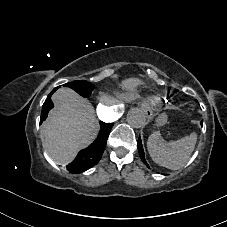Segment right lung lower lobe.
<instances>
[{
	"instance_id": "obj_1",
	"label": "right lung lower lobe",
	"mask_w": 227,
	"mask_h": 227,
	"mask_svg": "<svg viewBox=\"0 0 227 227\" xmlns=\"http://www.w3.org/2000/svg\"><path fill=\"white\" fill-rule=\"evenodd\" d=\"M52 107L53 103L50 101V105L48 106L47 110L42 111L41 113L40 123L46 119L48 112ZM100 124L101 130L97 139L89 147L81 150L78 153L73 162L67 166L68 171L76 174L93 167L99 162L104 152L108 136L113 127V123L100 122Z\"/></svg>"
}]
</instances>
